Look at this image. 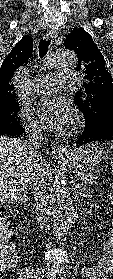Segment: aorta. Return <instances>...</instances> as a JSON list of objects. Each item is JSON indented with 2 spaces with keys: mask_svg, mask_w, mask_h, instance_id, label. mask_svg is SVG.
<instances>
[{
  "mask_svg": "<svg viewBox=\"0 0 113 279\" xmlns=\"http://www.w3.org/2000/svg\"><path fill=\"white\" fill-rule=\"evenodd\" d=\"M50 64L54 67H75L77 56L72 50L61 48L53 52ZM53 193L57 198L60 221L65 229L71 230L75 225L76 214L65 177L59 173L54 175Z\"/></svg>",
  "mask_w": 113,
  "mask_h": 279,
  "instance_id": "1",
  "label": "aorta"
}]
</instances>
